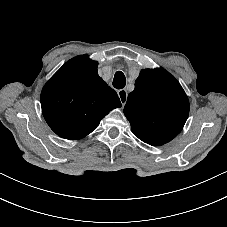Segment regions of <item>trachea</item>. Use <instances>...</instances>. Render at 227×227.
<instances>
[{"label":"trachea","mask_w":227,"mask_h":227,"mask_svg":"<svg viewBox=\"0 0 227 227\" xmlns=\"http://www.w3.org/2000/svg\"><path fill=\"white\" fill-rule=\"evenodd\" d=\"M113 86L116 89H122L126 84V77L122 71H117L114 75Z\"/></svg>","instance_id":"obj_1"}]
</instances>
